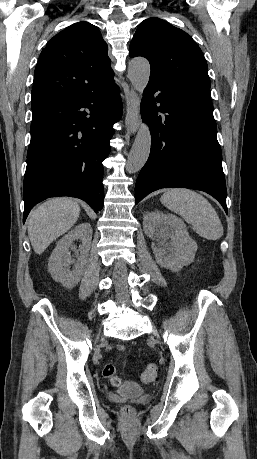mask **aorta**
Returning <instances> with one entry per match:
<instances>
[{
	"label": "aorta",
	"instance_id": "1",
	"mask_svg": "<svg viewBox=\"0 0 257 459\" xmlns=\"http://www.w3.org/2000/svg\"><path fill=\"white\" fill-rule=\"evenodd\" d=\"M128 77L134 89L142 94L149 82V62L141 57L132 59L128 67ZM150 147L151 133L149 127L141 123L128 156L126 164L128 173H136L144 166L149 157Z\"/></svg>",
	"mask_w": 257,
	"mask_h": 459
}]
</instances>
